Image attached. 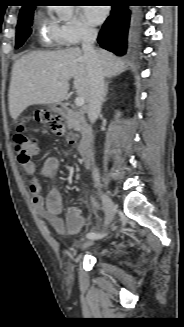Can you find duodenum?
<instances>
[{"label":"duodenum","instance_id":"obj_1","mask_svg":"<svg viewBox=\"0 0 184 327\" xmlns=\"http://www.w3.org/2000/svg\"><path fill=\"white\" fill-rule=\"evenodd\" d=\"M58 111L65 118H75L77 120L81 129V140L79 142L78 152L84 164H90L94 138L92 129L87 122L85 111H75L66 104L59 105Z\"/></svg>","mask_w":184,"mask_h":327}]
</instances>
